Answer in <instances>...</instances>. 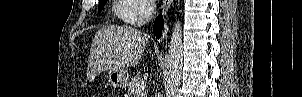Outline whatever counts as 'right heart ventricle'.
<instances>
[{
  "instance_id": "right-heart-ventricle-1",
  "label": "right heart ventricle",
  "mask_w": 302,
  "mask_h": 97,
  "mask_svg": "<svg viewBox=\"0 0 302 97\" xmlns=\"http://www.w3.org/2000/svg\"><path fill=\"white\" fill-rule=\"evenodd\" d=\"M135 5L131 0H115L113 12L121 21L129 23L134 12Z\"/></svg>"
}]
</instances>
